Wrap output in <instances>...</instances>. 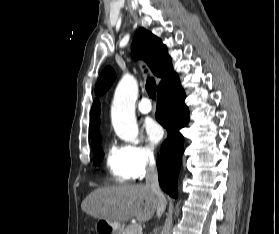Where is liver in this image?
<instances>
[{"label": "liver", "mask_w": 279, "mask_h": 234, "mask_svg": "<svg viewBox=\"0 0 279 234\" xmlns=\"http://www.w3.org/2000/svg\"><path fill=\"white\" fill-rule=\"evenodd\" d=\"M159 199L145 184L102 187L90 193L82 202V210L108 222H125L136 217L149 220L155 213Z\"/></svg>", "instance_id": "liver-1"}]
</instances>
